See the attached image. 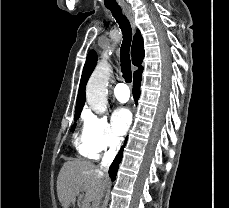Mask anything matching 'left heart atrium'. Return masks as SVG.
Segmentation results:
<instances>
[{
    "mask_svg": "<svg viewBox=\"0 0 229 208\" xmlns=\"http://www.w3.org/2000/svg\"><path fill=\"white\" fill-rule=\"evenodd\" d=\"M132 116L129 109L125 107L117 108L112 115L113 128L118 136H123L129 129Z\"/></svg>",
    "mask_w": 229,
    "mask_h": 208,
    "instance_id": "1",
    "label": "left heart atrium"
}]
</instances>
